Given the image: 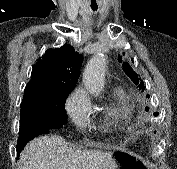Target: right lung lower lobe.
I'll return each instance as SVG.
<instances>
[{"mask_svg": "<svg viewBox=\"0 0 177 169\" xmlns=\"http://www.w3.org/2000/svg\"><path fill=\"white\" fill-rule=\"evenodd\" d=\"M48 133L49 128L34 124L32 122H25L23 124H20L17 152L19 153L32 138L41 134Z\"/></svg>", "mask_w": 177, "mask_h": 169, "instance_id": "obj_1", "label": "right lung lower lobe"}]
</instances>
